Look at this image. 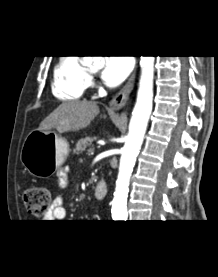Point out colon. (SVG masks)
Here are the masks:
<instances>
[{
    "instance_id": "colon-1",
    "label": "colon",
    "mask_w": 218,
    "mask_h": 277,
    "mask_svg": "<svg viewBox=\"0 0 218 277\" xmlns=\"http://www.w3.org/2000/svg\"><path fill=\"white\" fill-rule=\"evenodd\" d=\"M52 193L43 186H31L24 191V204L29 214L43 216L50 208Z\"/></svg>"
}]
</instances>
